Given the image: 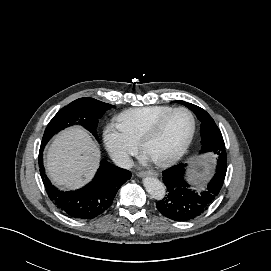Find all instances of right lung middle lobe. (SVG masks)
Wrapping results in <instances>:
<instances>
[{"label":"right lung middle lobe","instance_id":"dd1d6c3e","mask_svg":"<svg viewBox=\"0 0 271 271\" xmlns=\"http://www.w3.org/2000/svg\"><path fill=\"white\" fill-rule=\"evenodd\" d=\"M112 105L93 98H80L62 108L49 122L43 135L41 146L44 147L50 138L62 129L74 123L89 130L96 139L98 120Z\"/></svg>","mask_w":271,"mask_h":271}]
</instances>
